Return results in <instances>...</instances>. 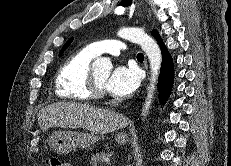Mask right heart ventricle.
Returning a JSON list of instances; mask_svg holds the SVG:
<instances>
[{"label":"right heart ventricle","mask_w":231,"mask_h":166,"mask_svg":"<svg viewBox=\"0 0 231 166\" xmlns=\"http://www.w3.org/2000/svg\"><path fill=\"white\" fill-rule=\"evenodd\" d=\"M97 57L86 46L71 54L60 66L55 78V94L60 99L87 101L92 99L89 91L91 63Z\"/></svg>","instance_id":"right-heart-ventricle-1"}]
</instances>
